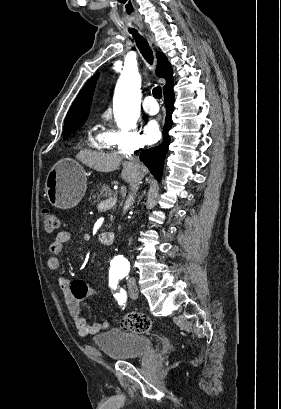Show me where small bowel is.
I'll list each match as a JSON object with an SVG mask.
<instances>
[{
	"label": "small bowel",
	"mask_w": 281,
	"mask_h": 409,
	"mask_svg": "<svg viewBox=\"0 0 281 409\" xmlns=\"http://www.w3.org/2000/svg\"><path fill=\"white\" fill-rule=\"evenodd\" d=\"M71 233L68 230L60 231L49 246L51 253L48 259L47 266L50 270H58L60 268L59 256L64 252L65 244L70 240ZM59 287L63 293L64 303L78 334L82 337L96 335L101 331L110 328V321L100 319L94 323H87L86 319L80 313V303L84 299L97 295V289L84 280H70L64 275L58 278Z\"/></svg>",
	"instance_id": "obj_1"
}]
</instances>
